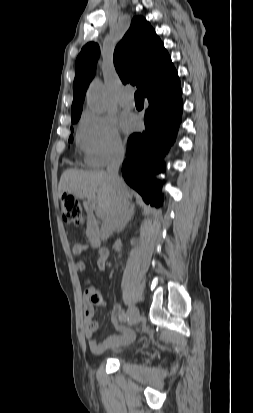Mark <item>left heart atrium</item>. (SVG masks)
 Here are the masks:
<instances>
[{
    "instance_id": "left-heart-atrium-1",
    "label": "left heart atrium",
    "mask_w": 253,
    "mask_h": 413,
    "mask_svg": "<svg viewBox=\"0 0 253 413\" xmlns=\"http://www.w3.org/2000/svg\"><path fill=\"white\" fill-rule=\"evenodd\" d=\"M122 123L126 131H131L137 127V120L133 116H125Z\"/></svg>"
}]
</instances>
